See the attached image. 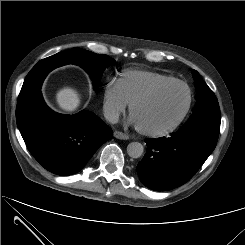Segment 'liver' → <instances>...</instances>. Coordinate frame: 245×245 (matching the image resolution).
<instances>
[{"mask_svg":"<svg viewBox=\"0 0 245 245\" xmlns=\"http://www.w3.org/2000/svg\"><path fill=\"white\" fill-rule=\"evenodd\" d=\"M56 102L61 110L72 113L80 106L81 95L75 88L65 86L57 91Z\"/></svg>","mask_w":245,"mask_h":245,"instance_id":"1","label":"liver"}]
</instances>
